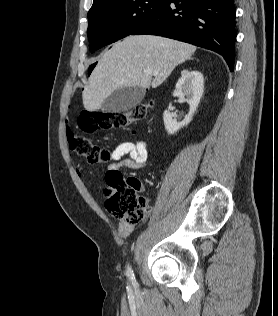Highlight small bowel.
Wrapping results in <instances>:
<instances>
[{
	"label": "small bowel",
	"mask_w": 278,
	"mask_h": 316,
	"mask_svg": "<svg viewBox=\"0 0 278 316\" xmlns=\"http://www.w3.org/2000/svg\"><path fill=\"white\" fill-rule=\"evenodd\" d=\"M126 157V158H125ZM109 171H119L120 168L139 169L149 162L148 145L145 140L126 141L117 145L110 153ZM133 232V225L124 222L118 224V233L122 238H128Z\"/></svg>",
	"instance_id": "small-bowel-1"
}]
</instances>
